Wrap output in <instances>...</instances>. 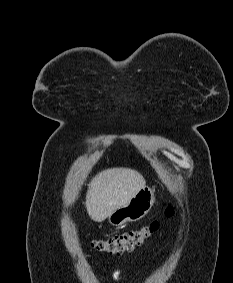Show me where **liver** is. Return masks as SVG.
I'll return each mask as SVG.
<instances>
[{"label": "liver", "instance_id": "obj_1", "mask_svg": "<svg viewBox=\"0 0 233 283\" xmlns=\"http://www.w3.org/2000/svg\"><path fill=\"white\" fill-rule=\"evenodd\" d=\"M146 185L144 177L130 168H111L99 172L88 184L86 209L90 218L104 221L124 206Z\"/></svg>", "mask_w": 233, "mask_h": 283}]
</instances>
